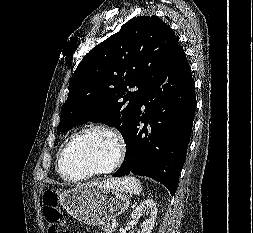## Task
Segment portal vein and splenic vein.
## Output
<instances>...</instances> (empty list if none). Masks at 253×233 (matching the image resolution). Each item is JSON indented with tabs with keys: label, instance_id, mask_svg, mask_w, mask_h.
<instances>
[{
	"label": "portal vein and splenic vein",
	"instance_id": "1",
	"mask_svg": "<svg viewBox=\"0 0 253 233\" xmlns=\"http://www.w3.org/2000/svg\"><path fill=\"white\" fill-rule=\"evenodd\" d=\"M111 226H112L113 228H115V227L118 226V223H117L116 221H113Z\"/></svg>",
	"mask_w": 253,
	"mask_h": 233
}]
</instances>
